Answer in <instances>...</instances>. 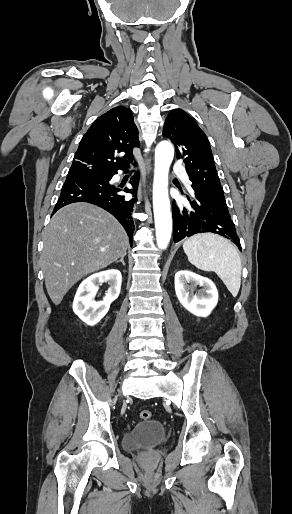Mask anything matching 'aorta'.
Segmentation results:
<instances>
[{
    "mask_svg": "<svg viewBox=\"0 0 292 514\" xmlns=\"http://www.w3.org/2000/svg\"><path fill=\"white\" fill-rule=\"evenodd\" d=\"M173 156L174 148L170 142H160V144L156 146L153 180V210L157 246L160 250L167 248L172 234V218L168 196V174Z\"/></svg>",
    "mask_w": 292,
    "mask_h": 514,
    "instance_id": "1",
    "label": "aorta"
}]
</instances>
